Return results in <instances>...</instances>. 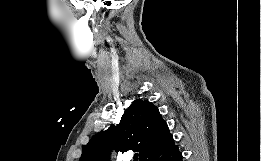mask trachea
<instances>
[{
  "mask_svg": "<svg viewBox=\"0 0 261 161\" xmlns=\"http://www.w3.org/2000/svg\"><path fill=\"white\" fill-rule=\"evenodd\" d=\"M134 161H138V154H134Z\"/></svg>",
  "mask_w": 261,
  "mask_h": 161,
  "instance_id": "1",
  "label": "trachea"
}]
</instances>
